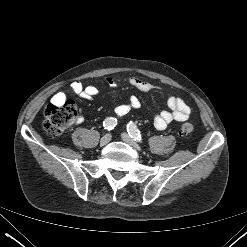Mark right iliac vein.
I'll return each instance as SVG.
<instances>
[{"label": "right iliac vein", "mask_w": 247, "mask_h": 247, "mask_svg": "<svg viewBox=\"0 0 247 247\" xmlns=\"http://www.w3.org/2000/svg\"><path fill=\"white\" fill-rule=\"evenodd\" d=\"M110 140H111V134H106V135H104L102 138H101V140H100V144L101 145H106V144H108L109 142H110Z\"/></svg>", "instance_id": "right-iliac-vein-1"}]
</instances>
